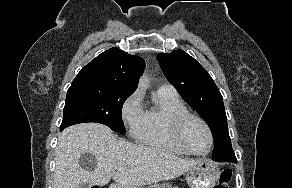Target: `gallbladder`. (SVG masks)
<instances>
[{
  "instance_id": "1",
  "label": "gallbladder",
  "mask_w": 292,
  "mask_h": 188,
  "mask_svg": "<svg viewBox=\"0 0 292 188\" xmlns=\"http://www.w3.org/2000/svg\"><path fill=\"white\" fill-rule=\"evenodd\" d=\"M91 184L89 182H84V184L78 186L77 188H91Z\"/></svg>"
}]
</instances>
